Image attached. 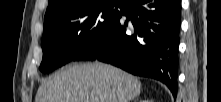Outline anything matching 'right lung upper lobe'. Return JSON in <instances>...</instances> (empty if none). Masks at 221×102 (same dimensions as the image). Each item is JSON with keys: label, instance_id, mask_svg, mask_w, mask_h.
Here are the masks:
<instances>
[{"label": "right lung upper lobe", "instance_id": "1", "mask_svg": "<svg viewBox=\"0 0 221 102\" xmlns=\"http://www.w3.org/2000/svg\"><path fill=\"white\" fill-rule=\"evenodd\" d=\"M74 1H81V0H49V5L45 13L44 21L49 20L54 15L59 13L61 10L68 7Z\"/></svg>", "mask_w": 221, "mask_h": 102}]
</instances>
